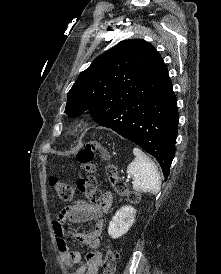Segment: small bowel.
I'll use <instances>...</instances> for the list:
<instances>
[{
  "label": "small bowel",
  "mask_w": 221,
  "mask_h": 274,
  "mask_svg": "<svg viewBox=\"0 0 221 274\" xmlns=\"http://www.w3.org/2000/svg\"><path fill=\"white\" fill-rule=\"evenodd\" d=\"M113 204V195L107 191L102 195L99 203H91L78 200L72 205L59 212L53 221V230L56 238V245L60 256L70 267L75 268L73 274H98L102 265L99 248V237L104 230L103 213H107ZM88 220H96L93 230L90 233H77L67 231L66 225L80 223ZM70 233L78 242L85 245L91 251L87 253L85 260L77 251L70 250L66 235Z\"/></svg>",
  "instance_id": "c3829d8e"
}]
</instances>
